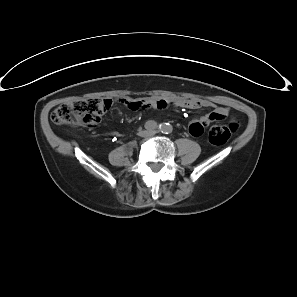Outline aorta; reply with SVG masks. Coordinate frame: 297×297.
Masks as SVG:
<instances>
[{
  "label": "aorta",
  "mask_w": 297,
  "mask_h": 297,
  "mask_svg": "<svg viewBox=\"0 0 297 297\" xmlns=\"http://www.w3.org/2000/svg\"><path fill=\"white\" fill-rule=\"evenodd\" d=\"M161 131L165 133H170L172 131V126L169 124H165L162 126Z\"/></svg>",
  "instance_id": "762f6f07"
}]
</instances>
